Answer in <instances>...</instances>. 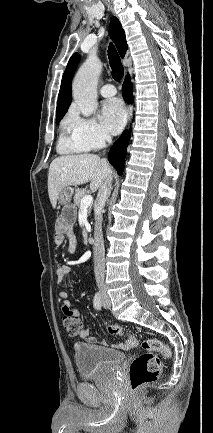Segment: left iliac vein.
Wrapping results in <instances>:
<instances>
[{
    "mask_svg": "<svg viewBox=\"0 0 213 433\" xmlns=\"http://www.w3.org/2000/svg\"><path fill=\"white\" fill-rule=\"evenodd\" d=\"M111 306V301L109 296L106 293H103V307L104 308H110Z\"/></svg>",
    "mask_w": 213,
    "mask_h": 433,
    "instance_id": "left-iliac-vein-1",
    "label": "left iliac vein"
}]
</instances>
